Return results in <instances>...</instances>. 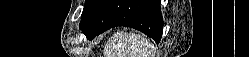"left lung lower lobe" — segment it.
Listing matches in <instances>:
<instances>
[{
	"mask_svg": "<svg viewBox=\"0 0 249 57\" xmlns=\"http://www.w3.org/2000/svg\"><path fill=\"white\" fill-rule=\"evenodd\" d=\"M115 26L135 28L159 43L163 32L160 1L107 0L80 29L87 38L93 39Z\"/></svg>",
	"mask_w": 249,
	"mask_h": 57,
	"instance_id": "obj_1",
	"label": "left lung lower lobe"
}]
</instances>
